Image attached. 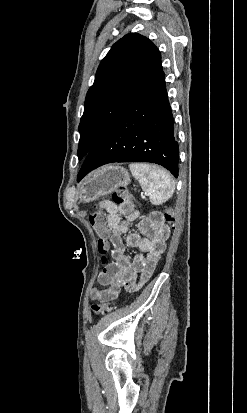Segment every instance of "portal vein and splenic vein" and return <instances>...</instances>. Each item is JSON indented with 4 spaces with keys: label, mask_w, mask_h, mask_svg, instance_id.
Instances as JSON below:
<instances>
[{
    "label": "portal vein and splenic vein",
    "mask_w": 247,
    "mask_h": 413,
    "mask_svg": "<svg viewBox=\"0 0 247 413\" xmlns=\"http://www.w3.org/2000/svg\"><path fill=\"white\" fill-rule=\"evenodd\" d=\"M147 196H148V193H147V192H144V191H143V192L141 193V199H142V200H145Z\"/></svg>",
    "instance_id": "18ae733b"
}]
</instances>
